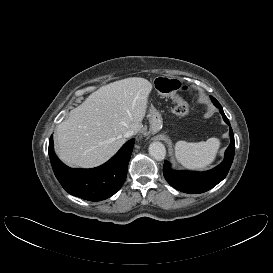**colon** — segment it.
<instances>
[{
  "label": "colon",
  "instance_id": "1",
  "mask_svg": "<svg viewBox=\"0 0 273 273\" xmlns=\"http://www.w3.org/2000/svg\"><path fill=\"white\" fill-rule=\"evenodd\" d=\"M155 86L164 94H172L185 89V86H183L180 81L164 77L157 78L155 81ZM175 112L179 116H185L188 114L189 109L187 105L179 104L176 107Z\"/></svg>",
  "mask_w": 273,
  "mask_h": 273
}]
</instances>
